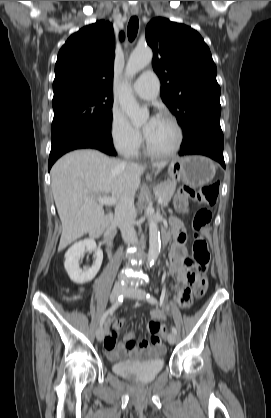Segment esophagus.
<instances>
[{
	"label": "esophagus",
	"mask_w": 271,
	"mask_h": 418,
	"mask_svg": "<svg viewBox=\"0 0 271 418\" xmlns=\"http://www.w3.org/2000/svg\"><path fill=\"white\" fill-rule=\"evenodd\" d=\"M130 12H131L132 15H137L138 14V8L133 7V8L130 9Z\"/></svg>",
	"instance_id": "esophagus-1"
}]
</instances>
